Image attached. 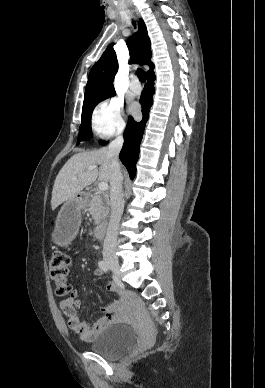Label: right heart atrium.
<instances>
[{
  "mask_svg": "<svg viewBox=\"0 0 265 388\" xmlns=\"http://www.w3.org/2000/svg\"><path fill=\"white\" fill-rule=\"evenodd\" d=\"M122 103L118 99H109L95 110L94 125L96 132L102 136H109L115 127L121 124Z\"/></svg>",
  "mask_w": 265,
  "mask_h": 388,
  "instance_id": "obj_1",
  "label": "right heart atrium"
}]
</instances>
